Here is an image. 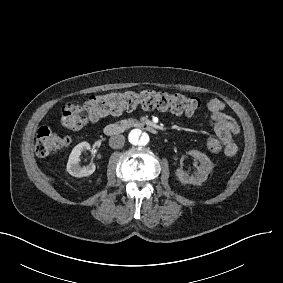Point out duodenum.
I'll return each instance as SVG.
<instances>
[{
    "label": "duodenum",
    "mask_w": 283,
    "mask_h": 283,
    "mask_svg": "<svg viewBox=\"0 0 283 283\" xmlns=\"http://www.w3.org/2000/svg\"><path fill=\"white\" fill-rule=\"evenodd\" d=\"M130 128H138L145 132L153 133V134L157 132V128L150 123L143 122V121L129 120V121H122V122L106 125L104 127V133L107 136H114Z\"/></svg>",
    "instance_id": "duodenum-1"
}]
</instances>
